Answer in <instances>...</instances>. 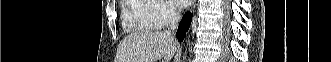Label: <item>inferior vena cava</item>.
Masks as SVG:
<instances>
[{
    "label": "inferior vena cava",
    "mask_w": 331,
    "mask_h": 62,
    "mask_svg": "<svg viewBox=\"0 0 331 62\" xmlns=\"http://www.w3.org/2000/svg\"><path fill=\"white\" fill-rule=\"evenodd\" d=\"M180 19V14L173 8L170 10V27L168 28V30H166L165 32L172 36L173 32L177 29L178 27V22Z\"/></svg>",
    "instance_id": "1"
}]
</instances>
